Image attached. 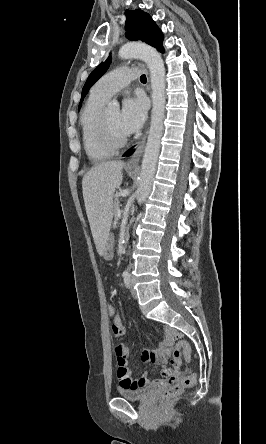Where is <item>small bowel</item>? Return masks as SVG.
Returning <instances> with one entry per match:
<instances>
[{
  "mask_svg": "<svg viewBox=\"0 0 266 444\" xmlns=\"http://www.w3.org/2000/svg\"><path fill=\"white\" fill-rule=\"evenodd\" d=\"M111 330L114 336L121 337L126 333L119 315L112 319ZM165 336L161 339L156 349H144L142 358L145 361H151L162 365V377L150 380L145 373L141 378L134 379L127 367L128 348L124 345H118L115 349L118 364V379L121 388L140 389L146 386H166L175 382L179 376L178 366L169 362L171 346L176 336V332L167 328Z\"/></svg>",
  "mask_w": 266,
  "mask_h": 444,
  "instance_id": "small-bowel-1",
  "label": "small bowel"
}]
</instances>
